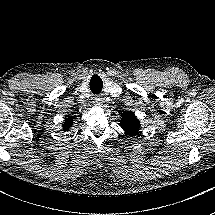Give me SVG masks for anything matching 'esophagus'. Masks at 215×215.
Segmentation results:
<instances>
[{
	"mask_svg": "<svg viewBox=\"0 0 215 215\" xmlns=\"http://www.w3.org/2000/svg\"><path fill=\"white\" fill-rule=\"evenodd\" d=\"M102 102H103V99H102V98H96V99H95V104H97V105H101Z\"/></svg>",
	"mask_w": 215,
	"mask_h": 215,
	"instance_id": "34e87169",
	"label": "esophagus"
}]
</instances>
